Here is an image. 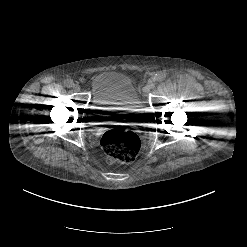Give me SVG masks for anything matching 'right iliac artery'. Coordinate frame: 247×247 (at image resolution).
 Instances as JSON below:
<instances>
[{
    "label": "right iliac artery",
    "instance_id": "1",
    "mask_svg": "<svg viewBox=\"0 0 247 247\" xmlns=\"http://www.w3.org/2000/svg\"><path fill=\"white\" fill-rule=\"evenodd\" d=\"M64 85L68 88H71L74 86V82L71 79H67L65 80Z\"/></svg>",
    "mask_w": 247,
    "mask_h": 247
}]
</instances>
